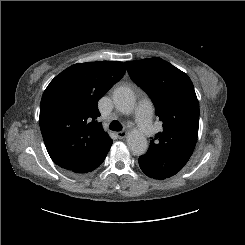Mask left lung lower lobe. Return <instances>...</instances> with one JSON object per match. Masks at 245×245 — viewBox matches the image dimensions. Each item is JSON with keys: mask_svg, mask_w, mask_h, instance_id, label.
<instances>
[{"mask_svg": "<svg viewBox=\"0 0 245 245\" xmlns=\"http://www.w3.org/2000/svg\"><path fill=\"white\" fill-rule=\"evenodd\" d=\"M139 165L147 176L159 180L175 175L184 167L167 155L152 150L139 157Z\"/></svg>", "mask_w": 245, "mask_h": 245, "instance_id": "1", "label": "left lung lower lobe"}]
</instances>
